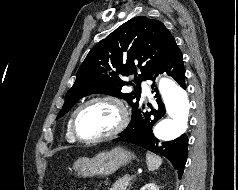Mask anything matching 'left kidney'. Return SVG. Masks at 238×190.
I'll list each match as a JSON object with an SVG mask.
<instances>
[{
    "mask_svg": "<svg viewBox=\"0 0 238 190\" xmlns=\"http://www.w3.org/2000/svg\"><path fill=\"white\" fill-rule=\"evenodd\" d=\"M140 190H159V187L154 183H148L144 185Z\"/></svg>",
    "mask_w": 238,
    "mask_h": 190,
    "instance_id": "5707ae66",
    "label": "left kidney"
}]
</instances>
